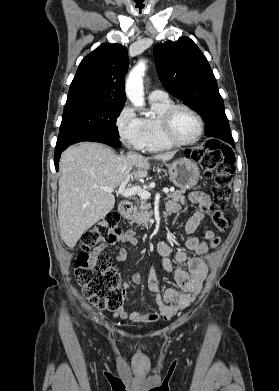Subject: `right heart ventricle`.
I'll use <instances>...</instances> for the list:
<instances>
[{"label": "right heart ventricle", "instance_id": "obj_1", "mask_svg": "<svg viewBox=\"0 0 279 391\" xmlns=\"http://www.w3.org/2000/svg\"><path fill=\"white\" fill-rule=\"evenodd\" d=\"M152 114L141 118V149L148 152H161L174 147L163 134L161 116L173 104L169 97L150 99Z\"/></svg>", "mask_w": 279, "mask_h": 391}]
</instances>
